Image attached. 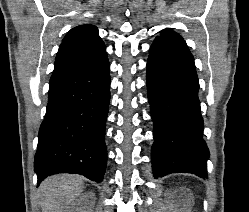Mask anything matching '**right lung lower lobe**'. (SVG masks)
<instances>
[{"label":"right lung lower lobe","mask_w":249,"mask_h":212,"mask_svg":"<svg viewBox=\"0 0 249 212\" xmlns=\"http://www.w3.org/2000/svg\"><path fill=\"white\" fill-rule=\"evenodd\" d=\"M109 71L106 54L85 68L50 80L34 163L38 183L56 173L102 182L107 165Z\"/></svg>","instance_id":"obj_1"}]
</instances>
